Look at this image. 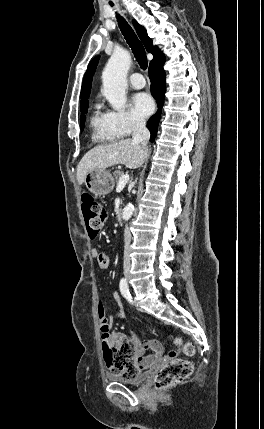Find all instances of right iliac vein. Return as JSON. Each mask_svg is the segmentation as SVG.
<instances>
[{
    "mask_svg": "<svg viewBox=\"0 0 264 429\" xmlns=\"http://www.w3.org/2000/svg\"><path fill=\"white\" fill-rule=\"evenodd\" d=\"M125 277H126L127 279H128V277H129V275H128V273H127V272L125 273Z\"/></svg>",
    "mask_w": 264,
    "mask_h": 429,
    "instance_id": "obj_1",
    "label": "right iliac vein"
}]
</instances>
